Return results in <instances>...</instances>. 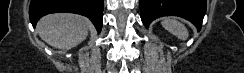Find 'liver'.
Segmentation results:
<instances>
[{
	"label": "liver",
	"instance_id": "obj_1",
	"mask_svg": "<svg viewBox=\"0 0 244 73\" xmlns=\"http://www.w3.org/2000/svg\"><path fill=\"white\" fill-rule=\"evenodd\" d=\"M90 21L80 15L71 13L50 14L38 22L39 36L57 49H71L88 35Z\"/></svg>",
	"mask_w": 244,
	"mask_h": 73
}]
</instances>
